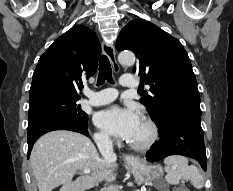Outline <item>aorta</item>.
<instances>
[{
    "label": "aorta",
    "instance_id": "obj_1",
    "mask_svg": "<svg viewBox=\"0 0 233 191\" xmlns=\"http://www.w3.org/2000/svg\"><path fill=\"white\" fill-rule=\"evenodd\" d=\"M118 61L121 65L132 66L135 63V56L130 51H123L119 53Z\"/></svg>",
    "mask_w": 233,
    "mask_h": 191
}]
</instances>
